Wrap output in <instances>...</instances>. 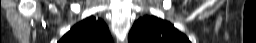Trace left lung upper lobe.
Returning a JSON list of instances; mask_svg holds the SVG:
<instances>
[{"mask_svg": "<svg viewBox=\"0 0 256 43\" xmlns=\"http://www.w3.org/2000/svg\"><path fill=\"white\" fill-rule=\"evenodd\" d=\"M129 43H190L171 23L155 16L136 21L129 33Z\"/></svg>", "mask_w": 256, "mask_h": 43, "instance_id": "5c2ea615", "label": "left lung upper lobe"}]
</instances>
